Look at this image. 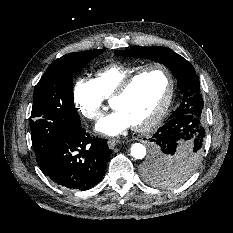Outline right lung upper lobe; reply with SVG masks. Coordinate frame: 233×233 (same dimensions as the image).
I'll return each instance as SVG.
<instances>
[{"label": "right lung upper lobe", "mask_w": 233, "mask_h": 233, "mask_svg": "<svg viewBox=\"0 0 233 233\" xmlns=\"http://www.w3.org/2000/svg\"><path fill=\"white\" fill-rule=\"evenodd\" d=\"M62 57H63V56H62ZM62 57H61V58H62ZM61 58H59V59L55 60L54 62H58Z\"/></svg>", "instance_id": "cb5924a9"}]
</instances>
